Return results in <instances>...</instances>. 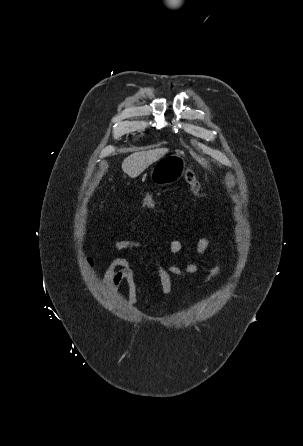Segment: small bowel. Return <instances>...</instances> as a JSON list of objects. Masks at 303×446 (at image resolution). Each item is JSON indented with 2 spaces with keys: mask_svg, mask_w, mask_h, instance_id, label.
Wrapping results in <instances>:
<instances>
[{
  "mask_svg": "<svg viewBox=\"0 0 303 446\" xmlns=\"http://www.w3.org/2000/svg\"><path fill=\"white\" fill-rule=\"evenodd\" d=\"M141 235L143 233H140ZM183 241L180 239H174L170 243L169 251L171 256L174 258L183 249ZM212 246V242L207 237H202L197 240L194 253L195 259L186 268H181L178 264L172 260L167 266L164 265L156 256L154 251L143 241L139 240H117L114 243V248L117 251L124 250H141L145 251L151 255L153 264L155 266L156 272L158 274L161 290L165 297H168L172 291V279L174 277L178 278H188L196 272L198 269L199 262L204 256L206 251ZM85 265L89 271H93L94 261L91 257L86 256ZM222 263L219 261L210 270L208 276L205 278V283H209L214 280L221 272ZM125 282L128 289L127 301L130 307L134 306L138 302L137 289L134 279V271L132 269L131 263L126 258H117L113 260L108 269L103 276V287L110 293H114L118 287Z\"/></svg>",
  "mask_w": 303,
  "mask_h": 446,
  "instance_id": "obj_1",
  "label": "small bowel"
}]
</instances>
